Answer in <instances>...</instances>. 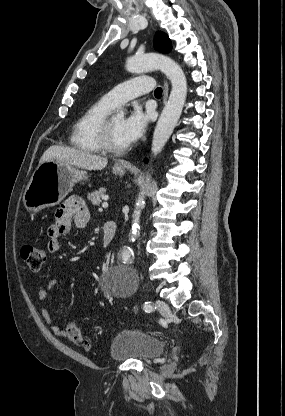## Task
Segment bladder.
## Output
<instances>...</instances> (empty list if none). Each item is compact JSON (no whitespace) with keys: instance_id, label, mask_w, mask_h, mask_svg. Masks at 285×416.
Returning <instances> with one entry per match:
<instances>
[{"instance_id":"31cf9c89","label":"bladder","mask_w":285,"mask_h":416,"mask_svg":"<svg viewBox=\"0 0 285 416\" xmlns=\"http://www.w3.org/2000/svg\"><path fill=\"white\" fill-rule=\"evenodd\" d=\"M165 350V342L136 329H127L116 334L109 354L113 360L132 359L146 361L157 358Z\"/></svg>"}]
</instances>
